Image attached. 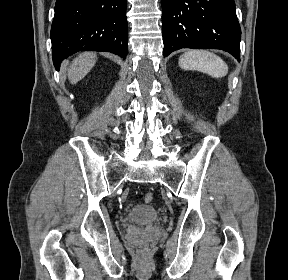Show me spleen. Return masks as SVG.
Instances as JSON below:
<instances>
[{
    "label": "spleen",
    "mask_w": 288,
    "mask_h": 280,
    "mask_svg": "<svg viewBox=\"0 0 288 280\" xmlns=\"http://www.w3.org/2000/svg\"><path fill=\"white\" fill-rule=\"evenodd\" d=\"M179 66L185 70H198L214 78H222L228 73L227 64L217 55L206 50H191L179 58Z\"/></svg>",
    "instance_id": "obj_1"
}]
</instances>
